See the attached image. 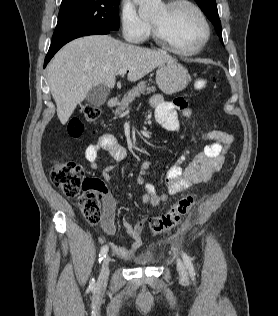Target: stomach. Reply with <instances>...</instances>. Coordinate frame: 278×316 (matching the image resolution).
I'll return each instance as SVG.
<instances>
[{
	"mask_svg": "<svg viewBox=\"0 0 278 316\" xmlns=\"http://www.w3.org/2000/svg\"><path fill=\"white\" fill-rule=\"evenodd\" d=\"M190 81L188 70L176 60H169L158 66L156 83L165 94L184 90Z\"/></svg>",
	"mask_w": 278,
	"mask_h": 316,
	"instance_id": "0dacf381",
	"label": "stomach"
}]
</instances>
